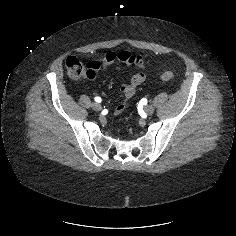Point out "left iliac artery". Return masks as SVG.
<instances>
[{"instance_id":"obj_1","label":"left iliac artery","mask_w":236,"mask_h":236,"mask_svg":"<svg viewBox=\"0 0 236 236\" xmlns=\"http://www.w3.org/2000/svg\"><path fill=\"white\" fill-rule=\"evenodd\" d=\"M146 101H147L146 99H142V102H144V103H145Z\"/></svg>"}]
</instances>
